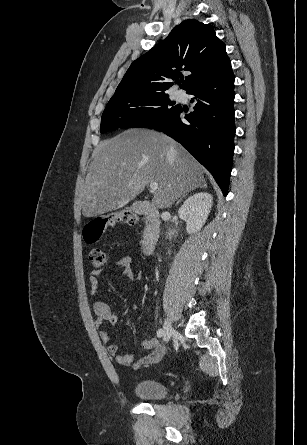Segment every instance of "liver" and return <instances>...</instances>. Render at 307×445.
Instances as JSON below:
<instances>
[{"label": "liver", "mask_w": 307, "mask_h": 445, "mask_svg": "<svg viewBox=\"0 0 307 445\" xmlns=\"http://www.w3.org/2000/svg\"><path fill=\"white\" fill-rule=\"evenodd\" d=\"M149 182L158 184L153 204L167 208L181 194L204 186L203 166L179 142L156 130L128 128L101 140L86 174L82 214L121 208Z\"/></svg>", "instance_id": "liver-1"}]
</instances>
